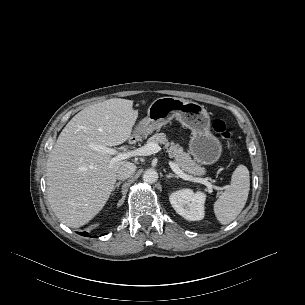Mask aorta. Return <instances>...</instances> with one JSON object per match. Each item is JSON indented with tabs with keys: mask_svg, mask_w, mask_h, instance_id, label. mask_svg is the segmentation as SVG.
<instances>
[{
	"mask_svg": "<svg viewBox=\"0 0 305 305\" xmlns=\"http://www.w3.org/2000/svg\"><path fill=\"white\" fill-rule=\"evenodd\" d=\"M158 179V173L155 169H147L143 174V180L146 183H155Z\"/></svg>",
	"mask_w": 305,
	"mask_h": 305,
	"instance_id": "762f6f07",
	"label": "aorta"
}]
</instances>
